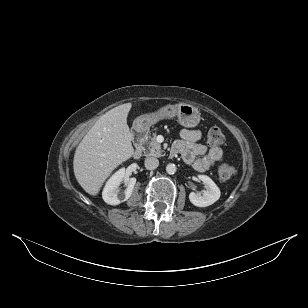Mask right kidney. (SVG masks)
Masks as SVG:
<instances>
[{
    "mask_svg": "<svg viewBox=\"0 0 308 308\" xmlns=\"http://www.w3.org/2000/svg\"><path fill=\"white\" fill-rule=\"evenodd\" d=\"M125 176V169L118 170L112 177L107 181L103 192V200L110 205H118L124 201H127L132 195L134 186L136 184V178H129L126 180V189L124 192H120L119 185Z\"/></svg>",
    "mask_w": 308,
    "mask_h": 308,
    "instance_id": "right-kidney-1",
    "label": "right kidney"
}]
</instances>
